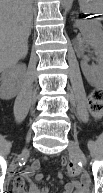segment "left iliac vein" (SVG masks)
I'll list each match as a JSON object with an SVG mask.
<instances>
[{
    "label": "left iliac vein",
    "instance_id": "4c4485c4",
    "mask_svg": "<svg viewBox=\"0 0 103 193\" xmlns=\"http://www.w3.org/2000/svg\"><path fill=\"white\" fill-rule=\"evenodd\" d=\"M68 151L76 156L83 164L87 163L86 157L80 149L79 145L72 140L69 142Z\"/></svg>",
    "mask_w": 103,
    "mask_h": 193
}]
</instances>
